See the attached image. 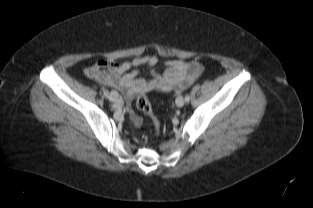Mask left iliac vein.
Instances as JSON below:
<instances>
[{"label": "left iliac vein", "instance_id": "4c4485c4", "mask_svg": "<svg viewBox=\"0 0 313 208\" xmlns=\"http://www.w3.org/2000/svg\"><path fill=\"white\" fill-rule=\"evenodd\" d=\"M184 104H185V99L182 96H178L176 98V105L178 107H182V106H184Z\"/></svg>", "mask_w": 313, "mask_h": 208}]
</instances>
